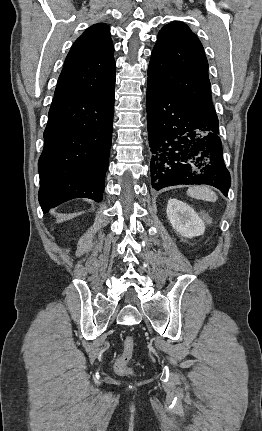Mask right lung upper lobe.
I'll list each match as a JSON object with an SVG mask.
<instances>
[{
    "mask_svg": "<svg viewBox=\"0 0 262 431\" xmlns=\"http://www.w3.org/2000/svg\"><path fill=\"white\" fill-rule=\"evenodd\" d=\"M114 46L104 23L89 27L73 44L54 97H102L115 87Z\"/></svg>",
    "mask_w": 262,
    "mask_h": 431,
    "instance_id": "right-lung-upper-lobe-1",
    "label": "right lung upper lobe"
}]
</instances>
